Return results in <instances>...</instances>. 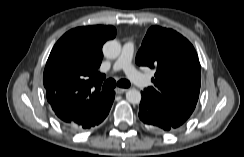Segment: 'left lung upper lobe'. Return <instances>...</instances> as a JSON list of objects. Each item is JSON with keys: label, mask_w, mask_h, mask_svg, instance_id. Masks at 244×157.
<instances>
[{"label": "left lung upper lobe", "mask_w": 244, "mask_h": 157, "mask_svg": "<svg viewBox=\"0 0 244 157\" xmlns=\"http://www.w3.org/2000/svg\"><path fill=\"white\" fill-rule=\"evenodd\" d=\"M136 63L154 69V86L142 94L153 100L170 122L180 127L194 111L200 92L201 68L192 44L172 29L152 26Z\"/></svg>", "instance_id": "obj_1"}]
</instances>
